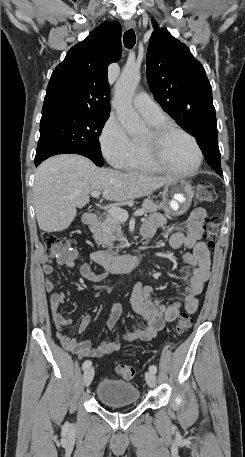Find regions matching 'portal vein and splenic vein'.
<instances>
[{
	"mask_svg": "<svg viewBox=\"0 0 245 457\" xmlns=\"http://www.w3.org/2000/svg\"><path fill=\"white\" fill-rule=\"evenodd\" d=\"M101 192L100 190H92L91 196H100ZM109 214L111 216H115V218H119V220H122V222H125L128 218V212L125 210V208H118V206H111V208H108ZM135 216H141V214H144L143 208H139V210H135L134 212Z\"/></svg>",
	"mask_w": 245,
	"mask_h": 457,
	"instance_id": "1",
	"label": "portal vein and splenic vein"
}]
</instances>
